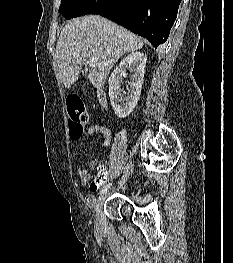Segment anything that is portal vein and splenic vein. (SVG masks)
<instances>
[{
	"instance_id": "18ae733b",
	"label": "portal vein and splenic vein",
	"mask_w": 233,
	"mask_h": 263,
	"mask_svg": "<svg viewBox=\"0 0 233 263\" xmlns=\"http://www.w3.org/2000/svg\"><path fill=\"white\" fill-rule=\"evenodd\" d=\"M89 65L90 66H100L101 64L97 61L96 58H89Z\"/></svg>"
}]
</instances>
